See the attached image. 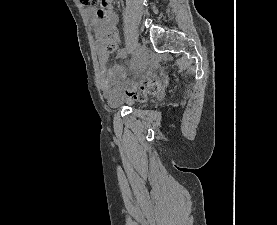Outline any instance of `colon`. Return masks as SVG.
I'll list each match as a JSON object with an SVG mask.
<instances>
[{"mask_svg":"<svg viewBox=\"0 0 277 225\" xmlns=\"http://www.w3.org/2000/svg\"><path fill=\"white\" fill-rule=\"evenodd\" d=\"M85 7L95 10L98 17H105L108 13V0H80ZM117 48L116 40L109 38L106 42V51L113 52ZM159 84L156 79H147L140 85L133 86L126 91L127 100L130 102L140 101L158 90Z\"/></svg>","mask_w":277,"mask_h":225,"instance_id":"5ec220e1","label":"colon"}]
</instances>
